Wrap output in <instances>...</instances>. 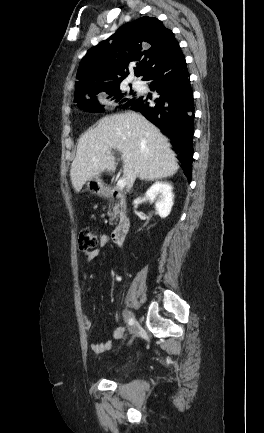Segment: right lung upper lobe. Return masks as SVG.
<instances>
[{
    "instance_id": "right-lung-upper-lobe-1",
    "label": "right lung upper lobe",
    "mask_w": 264,
    "mask_h": 433,
    "mask_svg": "<svg viewBox=\"0 0 264 433\" xmlns=\"http://www.w3.org/2000/svg\"><path fill=\"white\" fill-rule=\"evenodd\" d=\"M181 53L171 30L155 17H141L121 26L82 59L76 76L75 102L120 86L133 64L136 76H146Z\"/></svg>"
}]
</instances>
